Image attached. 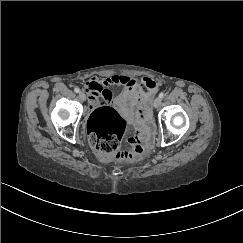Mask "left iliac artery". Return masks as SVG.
Here are the masks:
<instances>
[{
  "instance_id": "44dca946",
  "label": "left iliac artery",
  "mask_w": 243,
  "mask_h": 243,
  "mask_svg": "<svg viewBox=\"0 0 243 243\" xmlns=\"http://www.w3.org/2000/svg\"><path fill=\"white\" fill-rule=\"evenodd\" d=\"M164 97V93L163 92H161L160 94H159V98H163Z\"/></svg>"
}]
</instances>
